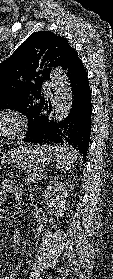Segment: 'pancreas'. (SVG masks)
<instances>
[{
	"instance_id": "pancreas-1",
	"label": "pancreas",
	"mask_w": 113,
	"mask_h": 279,
	"mask_svg": "<svg viewBox=\"0 0 113 279\" xmlns=\"http://www.w3.org/2000/svg\"><path fill=\"white\" fill-rule=\"evenodd\" d=\"M43 178L44 176L42 173H32V174H28L25 181L28 183H36L38 180H41Z\"/></svg>"
}]
</instances>
